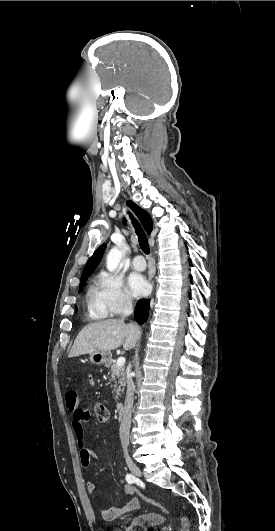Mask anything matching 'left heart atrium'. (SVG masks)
<instances>
[{"label":"left heart atrium","mask_w":275,"mask_h":531,"mask_svg":"<svg viewBox=\"0 0 275 531\" xmlns=\"http://www.w3.org/2000/svg\"><path fill=\"white\" fill-rule=\"evenodd\" d=\"M127 287L134 296H140L147 291L148 284L143 275L133 272L128 276Z\"/></svg>","instance_id":"left-heart-atrium-1"}]
</instances>
